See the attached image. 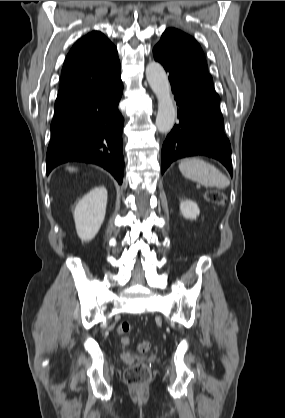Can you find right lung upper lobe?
Here are the masks:
<instances>
[{
    "label": "right lung upper lobe",
    "instance_id": "cb5924a9",
    "mask_svg": "<svg viewBox=\"0 0 285 418\" xmlns=\"http://www.w3.org/2000/svg\"><path fill=\"white\" fill-rule=\"evenodd\" d=\"M119 74L116 47L103 33H88L76 41L65 59L55 108L94 91Z\"/></svg>",
    "mask_w": 285,
    "mask_h": 418
}]
</instances>
